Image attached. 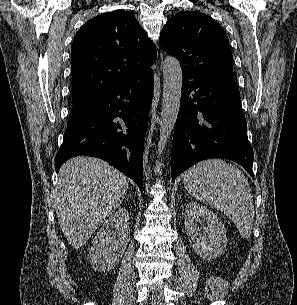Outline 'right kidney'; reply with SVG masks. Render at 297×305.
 <instances>
[{"instance_id": "1", "label": "right kidney", "mask_w": 297, "mask_h": 305, "mask_svg": "<svg viewBox=\"0 0 297 305\" xmlns=\"http://www.w3.org/2000/svg\"><path fill=\"white\" fill-rule=\"evenodd\" d=\"M129 214L118 209L97 233L89 251L94 270L109 271L120 261L129 242Z\"/></svg>"}]
</instances>
